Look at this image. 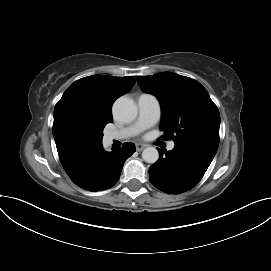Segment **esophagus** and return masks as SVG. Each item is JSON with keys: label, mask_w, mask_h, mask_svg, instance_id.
Wrapping results in <instances>:
<instances>
[{"label": "esophagus", "mask_w": 271, "mask_h": 271, "mask_svg": "<svg viewBox=\"0 0 271 271\" xmlns=\"http://www.w3.org/2000/svg\"><path fill=\"white\" fill-rule=\"evenodd\" d=\"M145 147H146L145 144H141V143L136 144L137 151H142Z\"/></svg>", "instance_id": "esophagus-1"}]
</instances>
